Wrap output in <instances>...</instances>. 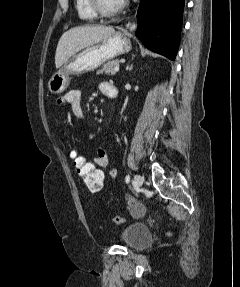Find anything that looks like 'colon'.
I'll use <instances>...</instances> for the list:
<instances>
[{"instance_id":"obj_1","label":"colon","mask_w":240,"mask_h":287,"mask_svg":"<svg viewBox=\"0 0 240 287\" xmlns=\"http://www.w3.org/2000/svg\"><path fill=\"white\" fill-rule=\"evenodd\" d=\"M64 143L77 175L91 192H99L104 185L105 177L103 171L93 161L82 155L69 138H64ZM114 222L122 224L124 217L117 215L114 218Z\"/></svg>"}]
</instances>
